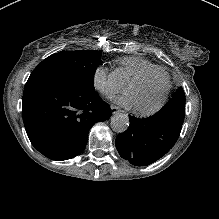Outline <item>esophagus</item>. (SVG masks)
<instances>
[{"label": "esophagus", "instance_id": "esophagus-1", "mask_svg": "<svg viewBox=\"0 0 219 219\" xmlns=\"http://www.w3.org/2000/svg\"><path fill=\"white\" fill-rule=\"evenodd\" d=\"M111 110L113 113L119 112V108L116 106H111Z\"/></svg>", "mask_w": 219, "mask_h": 219}]
</instances>
